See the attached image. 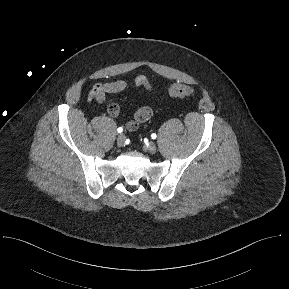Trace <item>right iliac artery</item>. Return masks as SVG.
<instances>
[{"mask_svg":"<svg viewBox=\"0 0 289 289\" xmlns=\"http://www.w3.org/2000/svg\"><path fill=\"white\" fill-rule=\"evenodd\" d=\"M117 131H118V133H122V132H123V128H122V127H119V128L117 129Z\"/></svg>","mask_w":289,"mask_h":289,"instance_id":"82829eb1","label":"right iliac artery"}]
</instances>
